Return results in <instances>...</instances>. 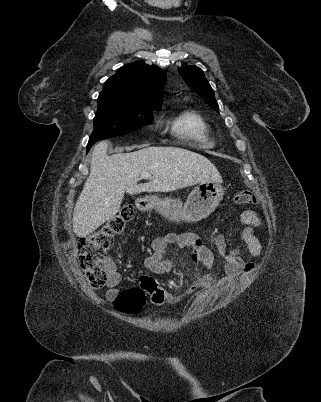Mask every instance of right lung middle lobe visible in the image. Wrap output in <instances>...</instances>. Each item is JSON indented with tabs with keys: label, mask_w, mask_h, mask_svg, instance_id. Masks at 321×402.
Wrapping results in <instances>:
<instances>
[{
	"label": "right lung middle lobe",
	"mask_w": 321,
	"mask_h": 402,
	"mask_svg": "<svg viewBox=\"0 0 321 402\" xmlns=\"http://www.w3.org/2000/svg\"><path fill=\"white\" fill-rule=\"evenodd\" d=\"M161 106L139 105L119 99L98 97L94 131L89 144L142 128L153 121V110Z\"/></svg>",
	"instance_id": "right-lung-middle-lobe-1"
}]
</instances>
